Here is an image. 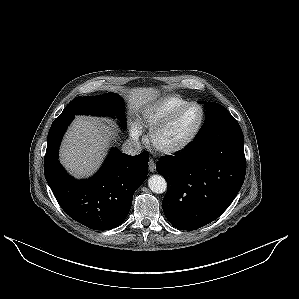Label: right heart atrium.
<instances>
[{
	"mask_svg": "<svg viewBox=\"0 0 299 299\" xmlns=\"http://www.w3.org/2000/svg\"><path fill=\"white\" fill-rule=\"evenodd\" d=\"M131 136L133 139L138 140L141 136V130L140 127L138 125H134L131 128Z\"/></svg>",
	"mask_w": 299,
	"mask_h": 299,
	"instance_id": "1",
	"label": "right heart atrium"
}]
</instances>
